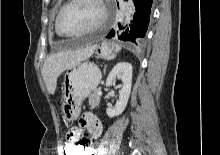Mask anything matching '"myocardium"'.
I'll return each mask as SVG.
<instances>
[{
    "mask_svg": "<svg viewBox=\"0 0 220 155\" xmlns=\"http://www.w3.org/2000/svg\"><path fill=\"white\" fill-rule=\"evenodd\" d=\"M77 0H67L61 7L60 9L58 10V13L56 15V18H55V30L56 32L61 35V36H78V35H84V34H88V33H91V32H94L100 28H102L107 19H108V10H107V6L106 4L104 3L103 0H95L98 5L100 6L101 8V11H102V16H101V19L99 20L98 23H96L95 25H93L92 27H89L87 29H84V30H80V31H76V32H65L61 29L60 27V18H61V15L63 13V11L68 7L70 6L71 4L75 3Z\"/></svg>",
    "mask_w": 220,
    "mask_h": 155,
    "instance_id": "f54148a6",
    "label": "myocardium"
}]
</instances>
